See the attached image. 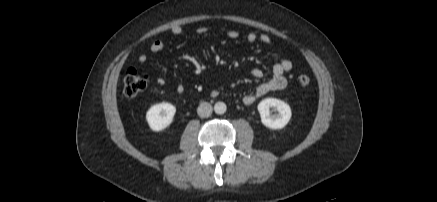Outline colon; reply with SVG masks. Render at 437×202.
Returning a JSON list of instances; mask_svg holds the SVG:
<instances>
[{
  "label": "colon",
  "mask_w": 437,
  "mask_h": 202,
  "mask_svg": "<svg viewBox=\"0 0 437 202\" xmlns=\"http://www.w3.org/2000/svg\"><path fill=\"white\" fill-rule=\"evenodd\" d=\"M298 83L306 87L310 83V78L306 74L297 77ZM148 85V77L138 72L135 68H129L124 77V94L127 97H135L142 93Z\"/></svg>",
  "instance_id": "1"
}]
</instances>
